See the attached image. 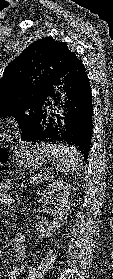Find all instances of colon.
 Returning <instances> with one entry per match:
<instances>
[{"mask_svg": "<svg viewBox=\"0 0 113 279\" xmlns=\"http://www.w3.org/2000/svg\"><path fill=\"white\" fill-rule=\"evenodd\" d=\"M8 158V152L5 149L0 148V164L5 162Z\"/></svg>", "mask_w": 113, "mask_h": 279, "instance_id": "colon-1", "label": "colon"}]
</instances>
